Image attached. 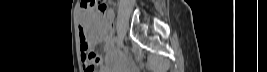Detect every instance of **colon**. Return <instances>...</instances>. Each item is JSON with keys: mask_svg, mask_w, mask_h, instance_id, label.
<instances>
[{"mask_svg": "<svg viewBox=\"0 0 267 72\" xmlns=\"http://www.w3.org/2000/svg\"><path fill=\"white\" fill-rule=\"evenodd\" d=\"M82 4L87 7V9L97 15L101 16L103 19L104 29H109L111 24L105 18L107 6L105 0H83ZM89 44L86 41H82L81 50H86L87 63L84 65L85 72H97V67L100 64V56L94 52L88 51Z\"/></svg>", "mask_w": 267, "mask_h": 72, "instance_id": "colon-1", "label": "colon"}]
</instances>
